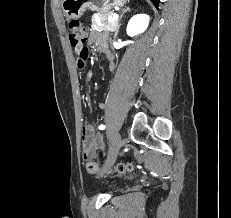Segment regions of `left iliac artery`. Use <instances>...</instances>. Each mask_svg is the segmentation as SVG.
<instances>
[{
    "mask_svg": "<svg viewBox=\"0 0 231 218\" xmlns=\"http://www.w3.org/2000/svg\"><path fill=\"white\" fill-rule=\"evenodd\" d=\"M99 129H100V130H104V129H105V125H100V126H99Z\"/></svg>",
    "mask_w": 231,
    "mask_h": 218,
    "instance_id": "obj_1",
    "label": "left iliac artery"
}]
</instances>
